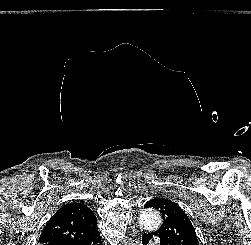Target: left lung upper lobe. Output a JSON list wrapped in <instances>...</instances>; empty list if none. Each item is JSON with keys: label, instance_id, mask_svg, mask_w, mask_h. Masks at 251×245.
Here are the masks:
<instances>
[{"label": "left lung upper lobe", "instance_id": "1", "mask_svg": "<svg viewBox=\"0 0 251 245\" xmlns=\"http://www.w3.org/2000/svg\"><path fill=\"white\" fill-rule=\"evenodd\" d=\"M144 207L156 208L163 216L162 226L155 232L170 245H199L195 229L184 211L163 197L148 201Z\"/></svg>", "mask_w": 251, "mask_h": 245}]
</instances>
